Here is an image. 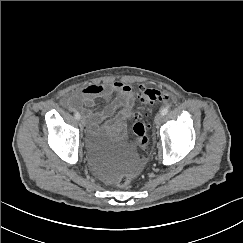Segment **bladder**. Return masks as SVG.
Here are the masks:
<instances>
[{"label":"bladder","instance_id":"bladder-1","mask_svg":"<svg viewBox=\"0 0 243 243\" xmlns=\"http://www.w3.org/2000/svg\"><path fill=\"white\" fill-rule=\"evenodd\" d=\"M88 142L99 153L114 149L121 172H137L142 167V160L135 149L126 144L116 127L107 122L96 124L94 129L89 131Z\"/></svg>","mask_w":243,"mask_h":243}]
</instances>
